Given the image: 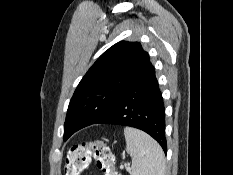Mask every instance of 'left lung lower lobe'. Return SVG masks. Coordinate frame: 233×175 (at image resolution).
<instances>
[{"label":"left lung lower lobe","instance_id":"1","mask_svg":"<svg viewBox=\"0 0 233 175\" xmlns=\"http://www.w3.org/2000/svg\"><path fill=\"white\" fill-rule=\"evenodd\" d=\"M93 124H117L141 129L167 152L165 108L151 64Z\"/></svg>","mask_w":233,"mask_h":175}]
</instances>
